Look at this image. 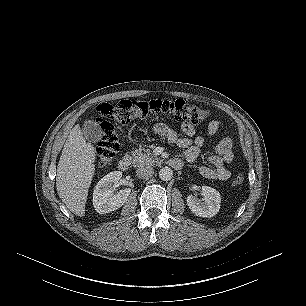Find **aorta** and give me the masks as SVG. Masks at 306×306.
I'll list each match as a JSON object with an SVG mask.
<instances>
[{
    "label": "aorta",
    "instance_id": "obj_1",
    "mask_svg": "<svg viewBox=\"0 0 306 306\" xmlns=\"http://www.w3.org/2000/svg\"><path fill=\"white\" fill-rule=\"evenodd\" d=\"M159 177L163 181H169L173 177V171L169 167H163L159 171Z\"/></svg>",
    "mask_w": 306,
    "mask_h": 306
}]
</instances>
